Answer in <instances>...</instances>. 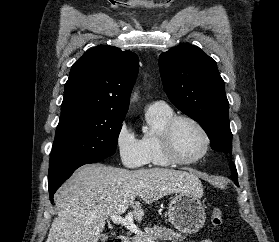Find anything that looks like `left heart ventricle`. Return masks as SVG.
<instances>
[{
    "label": "left heart ventricle",
    "instance_id": "b2bd125f",
    "mask_svg": "<svg viewBox=\"0 0 279 242\" xmlns=\"http://www.w3.org/2000/svg\"><path fill=\"white\" fill-rule=\"evenodd\" d=\"M173 143L177 154L183 159L197 157L204 148L202 134L187 121H180L176 124L173 132Z\"/></svg>",
    "mask_w": 279,
    "mask_h": 242
}]
</instances>
